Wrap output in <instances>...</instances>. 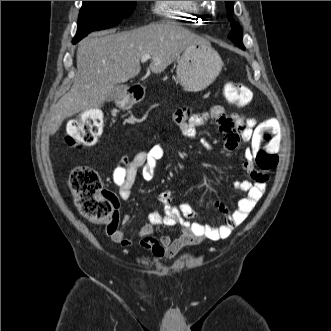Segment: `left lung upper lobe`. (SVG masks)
<instances>
[{"mask_svg":"<svg viewBox=\"0 0 331 331\" xmlns=\"http://www.w3.org/2000/svg\"><path fill=\"white\" fill-rule=\"evenodd\" d=\"M226 2V8H227V17L231 21L232 30L228 35V38L232 40L237 46H239L241 49H245L243 43H242V30L238 23L234 22L232 20V12H233V2L234 1H225Z\"/></svg>","mask_w":331,"mask_h":331,"instance_id":"obj_1","label":"left lung upper lobe"}]
</instances>
